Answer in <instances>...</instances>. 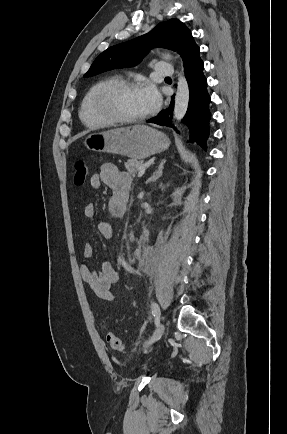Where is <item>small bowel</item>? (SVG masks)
Masks as SVG:
<instances>
[{
  "label": "small bowel",
  "instance_id": "1",
  "mask_svg": "<svg viewBox=\"0 0 287 434\" xmlns=\"http://www.w3.org/2000/svg\"><path fill=\"white\" fill-rule=\"evenodd\" d=\"M89 185L98 189L102 185L110 190L108 200V212L116 219H123L126 214L129 200V190L131 176L125 171H121L115 164L104 163L100 171L90 177ZM84 216L87 219H94L97 216V206L88 203L84 206ZM99 234L106 238H114V227L109 222L101 221L97 223ZM84 262L80 266V274L83 281L91 288L94 294L105 301H112L115 295L112 286L117 281V272L107 261H102L99 270H95L87 264V261L94 256V247L87 242L83 245Z\"/></svg>",
  "mask_w": 287,
  "mask_h": 434
}]
</instances>
